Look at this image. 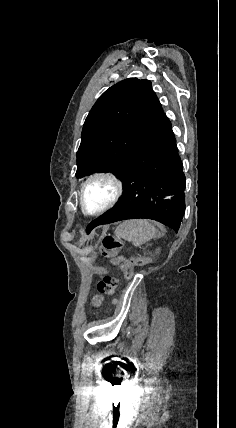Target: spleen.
Here are the masks:
<instances>
[{"instance_id":"1","label":"spleen","mask_w":236,"mask_h":428,"mask_svg":"<svg viewBox=\"0 0 236 428\" xmlns=\"http://www.w3.org/2000/svg\"><path fill=\"white\" fill-rule=\"evenodd\" d=\"M154 234V226H151L147 220H126L117 228V236L133 242V246H138V248L151 240Z\"/></svg>"}]
</instances>
